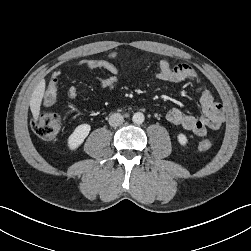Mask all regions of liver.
Masks as SVG:
<instances>
[{
    "label": "liver",
    "instance_id": "obj_1",
    "mask_svg": "<svg viewBox=\"0 0 251 251\" xmlns=\"http://www.w3.org/2000/svg\"><path fill=\"white\" fill-rule=\"evenodd\" d=\"M44 92H45V80L42 79L34 89L29 103L35 121L38 120L40 114V107L44 96Z\"/></svg>",
    "mask_w": 251,
    "mask_h": 251
}]
</instances>
